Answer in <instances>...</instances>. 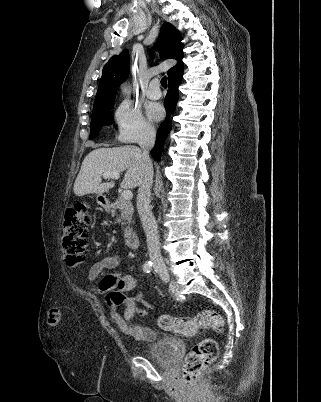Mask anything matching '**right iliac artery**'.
Returning <instances> with one entry per match:
<instances>
[{"mask_svg": "<svg viewBox=\"0 0 321 402\" xmlns=\"http://www.w3.org/2000/svg\"><path fill=\"white\" fill-rule=\"evenodd\" d=\"M143 270L145 273H150V271L152 270V265L151 264H145L143 266Z\"/></svg>", "mask_w": 321, "mask_h": 402, "instance_id": "82829eb1", "label": "right iliac artery"}]
</instances>
